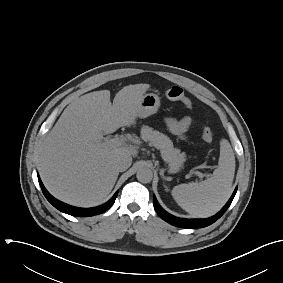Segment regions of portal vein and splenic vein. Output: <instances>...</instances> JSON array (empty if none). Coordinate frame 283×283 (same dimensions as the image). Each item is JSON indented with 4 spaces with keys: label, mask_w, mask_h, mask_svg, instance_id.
Here are the masks:
<instances>
[{
    "label": "portal vein and splenic vein",
    "mask_w": 283,
    "mask_h": 283,
    "mask_svg": "<svg viewBox=\"0 0 283 283\" xmlns=\"http://www.w3.org/2000/svg\"><path fill=\"white\" fill-rule=\"evenodd\" d=\"M103 144L111 148L120 147L127 144V139L124 137H114L111 139L106 138ZM194 174H196L200 179L204 177V174L199 171H194Z\"/></svg>",
    "instance_id": "1"
}]
</instances>
